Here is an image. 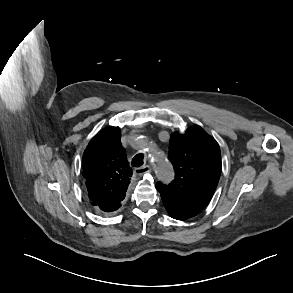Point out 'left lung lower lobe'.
<instances>
[{
	"mask_svg": "<svg viewBox=\"0 0 293 293\" xmlns=\"http://www.w3.org/2000/svg\"><path fill=\"white\" fill-rule=\"evenodd\" d=\"M161 198H162V202H163L165 208L167 209L169 215L174 219L185 220V219H188V218H191V217L197 215L193 211H191L183 206H180L179 204L171 201L170 199H168L164 196H161Z\"/></svg>",
	"mask_w": 293,
	"mask_h": 293,
	"instance_id": "obj_1",
	"label": "left lung lower lobe"
}]
</instances>
